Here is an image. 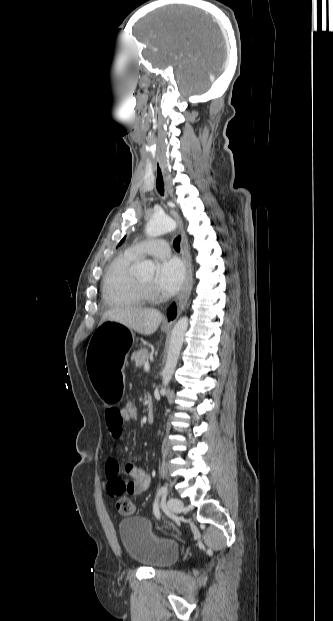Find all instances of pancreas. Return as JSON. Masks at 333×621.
<instances>
[{
    "mask_svg": "<svg viewBox=\"0 0 333 621\" xmlns=\"http://www.w3.org/2000/svg\"><path fill=\"white\" fill-rule=\"evenodd\" d=\"M149 356V351L146 348H141L133 352L131 359L135 361L136 367H141L145 363H148Z\"/></svg>",
    "mask_w": 333,
    "mask_h": 621,
    "instance_id": "obj_1",
    "label": "pancreas"
}]
</instances>
